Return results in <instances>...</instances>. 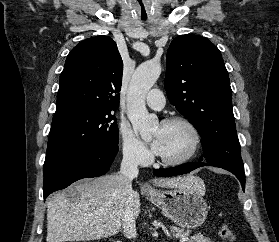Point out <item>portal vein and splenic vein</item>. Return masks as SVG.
<instances>
[{"mask_svg": "<svg viewBox=\"0 0 279 242\" xmlns=\"http://www.w3.org/2000/svg\"><path fill=\"white\" fill-rule=\"evenodd\" d=\"M188 239H189L188 237H183L180 239V242H186V241H188Z\"/></svg>", "mask_w": 279, "mask_h": 242, "instance_id": "portal-vein-and-splenic-vein-1", "label": "portal vein and splenic vein"}]
</instances>
